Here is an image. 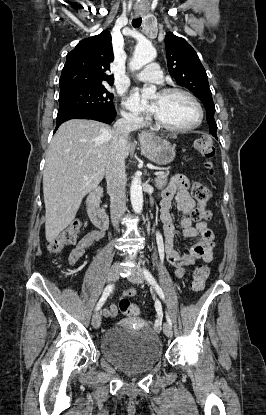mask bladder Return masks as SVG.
<instances>
[{
    "label": "bladder",
    "mask_w": 266,
    "mask_h": 415,
    "mask_svg": "<svg viewBox=\"0 0 266 415\" xmlns=\"http://www.w3.org/2000/svg\"><path fill=\"white\" fill-rule=\"evenodd\" d=\"M100 350L105 359L129 374L150 370L163 355L161 340L150 328L112 327L104 334Z\"/></svg>",
    "instance_id": "1"
}]
</instances>
